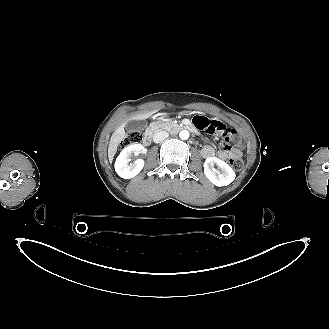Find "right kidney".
Listing matches in <instances>:
<instances>
[{"mask_svg": "<svg viewBox=\"0 0 329 329\" xmlns=\"http://www.w3.org/2000/svg\"><path fill=\"white\" fill-rule=\"evenodd\" d=\"M144 147L141 144H131L125 147L115 162V171L117 174L124 178L130 179L135 177L144 167V160L137 159L133 163L130 162L132 154L139 155L143 152Z\"/></svg>", "mask_w": 329, "mask_h": 329, "instance_id": "right-kidney-1", "label": "right kidney"}]
</instances>
